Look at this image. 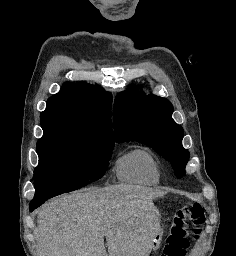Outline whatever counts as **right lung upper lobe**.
I'll use <instances>...</instances> for the list:
<instances>
[{
    "label": "right lung upper lobe",
    "instance_id": "1",
    "mask_svg": "<svg viewBox=\"0 0 236 256\" xmlns=\"http://www.w3.org/2000/svg\"><path fill=\"white\" fill-rule=\"evenodd\" d=\"M111 102V94L98 86L66 83L48 99L40 123L43 130L63 128L113 140Z\"/></svg>",
    "mask_w": 236,
    "mask_h": 256
}]
</instances>
